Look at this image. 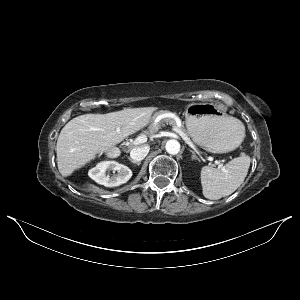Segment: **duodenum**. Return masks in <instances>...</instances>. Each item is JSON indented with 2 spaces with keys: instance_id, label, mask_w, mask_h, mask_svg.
<instances>
[{
  "instance_id": "1",
  "label": "duodenum",
  "mask_w": 300,
  "mask_h": 300,
  "mask_svg": "<svg viewBox=\"0 0 300 300\" xmlns=\"http://www.w3.org/2000/svg\"><path fill=\"white\" fill-rule=\"evenodd\" d=\"M119 154H120V151L118 149H115L110 153V157L117 158L119 156Z\"/></svg>"
}]
</instances>
